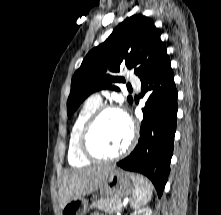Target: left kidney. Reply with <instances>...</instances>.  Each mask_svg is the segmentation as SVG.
<instances>
[{"instance_id":"5707ae66","label":"left kidney","mask_w":221,"mask_h":215,"mask_svg":"<svg viewBox=\"0 0 221 215\" xmlns=\"http://www.w3.org/2000/svg\"><path fill=\"white\" fill-rule=\"evenodd\" d=\"M130 215H152V210L148 207L142 208V209L136 210Z\"/></svg>"}]
</instances>
